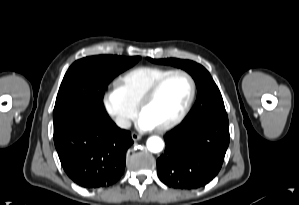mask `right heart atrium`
Segmentation results:
<instances>
[{
	"mask_svg": "<svg viewBox=\"0 0 299 205\" xmlns=\"http://www.w3.org/2000/svg\"><path fill=\"white\" fill-rule=\"evenodd\" d=\"M102 105L105 112L121 129L128 128L137 114L136 107L127 101L117 86L110 87L103 93Z\"/></svg>",
	"mask_w": 299,
	"mask_h": 205,
	"instance_id": "right-heart-atrium-1",
	"label": "right heart atrium"
}]
</instances>
